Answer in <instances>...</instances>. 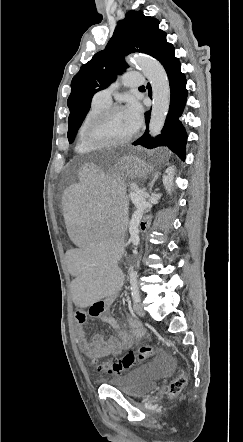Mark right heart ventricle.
<instances>
[{
    "label": "right heart ventricle",
    "mask_w": 243,
    "mask_h": 442,
    "mask_svg": "<svg viewBox=\"0 0 243 442\" xmlns=\"http://www.w3.org/2000/svg\"><path fill=\"white\" fill-rule=\"evenodd\" d=\"M109 105L110 104H105V103L99 102V101L95 100L94 98L92 99L91 104H90L88 110L86 111V113L80 123V126L77 130L76 142H75V151L77 153L88 154V153L94 152L96 150V148L89 145L87 143V141L85 140L84 129H85L86 123L88 122V120L91 117H93L95 114H97L101 110L105 109Z\"/></svg>",
    "instance_id": "obj_1"
}]
</instances>
